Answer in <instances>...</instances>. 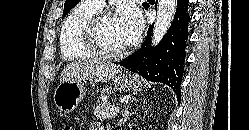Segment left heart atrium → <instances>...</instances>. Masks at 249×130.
Returning a JSON list of instances; mask_svg holds the SVG:
<instances>
[{"label": "left heart atrium", "mask_w": 249, "mask_h": 130, "mask_svg": "<svg viewBox=\"0 0 249 130\" xmlns=\"http://www.w3.org/2000/svg\"><path fill=\"white\" fill-rule=\"evenodd\" d=\"M114 17L125 44L136 42L143 29V17L139 8L132 2H123L118 6Z\"/></svg>", "instance_id": "1"}]
</instances>
